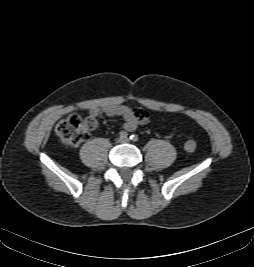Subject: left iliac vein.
Returning <instances> with one entry per match:
<instances>
[{
	"mask_svg": "<svg viewBox=\"0 0 254 267\" xmlns=\"http://www.w3.org/2000/svg\"><path fill=\"white\" fill-rule=\"evenodd\" d=\"M122 142H129V138L122 139Z\"/></svg>",
	"mask_w": 254,
	"mask_h": 267,
	"instance_id": "1",
	"label": "left iliac vein"
}]
</instances>
